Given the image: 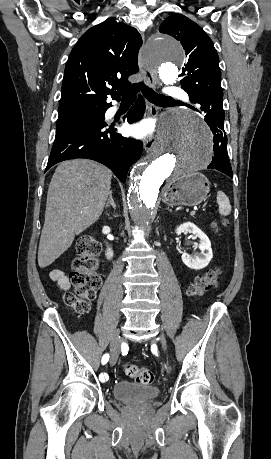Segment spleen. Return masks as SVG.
Wrapping results in <instances>:
<instances>
[{"mask_svg":"<svg viewBox=\"0 0 271 459\" xmlns=\"http://www.w3.org/2000/svg\"><path fill=\"white\" fill-rule=\"evenodd\" d=\"M217 204L219 206V214H222V216H229V214H231V204L229 202V198H227L223 192H218Z\"/></svg>","mask_w":271,"mask_h":459,"instance_id":"obj_1","label":"spleen"}]
</instances>
